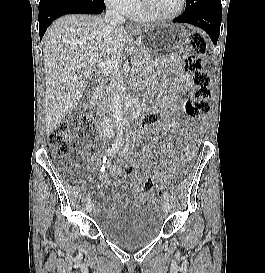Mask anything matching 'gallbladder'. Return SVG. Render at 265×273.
<instances>
[{
  "label": "gallbladder",
  "instance_id": "1",
  "mask_svg": "<svg viewBox=\"0 0 265 273\" xmlns=\"http://www.w3.org/2000/svg\"><path fill=\"white\" fill-rule=\"evenodd\" d=\"M95 81L92 80L91 82H89V84L87 85L78 105L76 106V108L71 111V113L68 115V117H70L71 115H74L80 111L85 110L88 107L91 95L93 93V90L95 88Z\"/></svg>",
  "mask_w": 265,
  "mask_h": 273
}]
</instances>
